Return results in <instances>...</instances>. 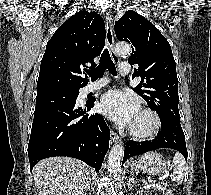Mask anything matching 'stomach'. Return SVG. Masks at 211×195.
<instances>
[{"label": "stomach", "instance_id": "1", "mask_svg": "<svg viewBox=\"0 0 211 195\" xmlns=\"http://www.w3.org/2000/svg\"><path fill=\"white\" fill-rule=\"evenodd\" d=\"M131 169L147 173L149 175H158L166 170V161L158 152H147L130 163Z\"/></svg>", "mask_w": 211, "mask_h": 195}]
</instances>
